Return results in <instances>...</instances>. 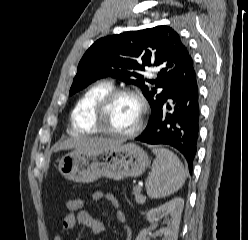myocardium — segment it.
<instances>
[{
  "label": "myocardium",
  "instance_id": "obj_1",
  "mask_svg": "<svg viewBox=\"0 0 248 240\" xmlns=\"http://www.w3.org/2000/svg\"><path fill=\"white\" fill-rule=\"evenodd\" d=\"M129 95L134 97L140 105V117L136 124V126L128 132H118L107 128L104 125V119L107 114L108 109L110 108L112 102L115 98ZM148 115V105L146 99L142 95V93L134 88L122 87V88H112L107 93H105L97 102L92 116L93 125L97 132L102 133L107 136L115 137V138H133L137 136L143 129L146 118Z\"/></svg>",
  "mask_w": 248,
  "mask_h": 240
}]
</instances>
